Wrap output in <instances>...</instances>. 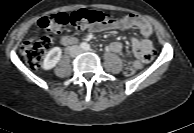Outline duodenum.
<instances>
[{"label":"duodenum","instance_id":"obj_1","mask_svg":"<svg viewBox=\"0 0 194 133\" xmlns=\"http://www.w3.org/2000/svg\"><path fill=\"white\" fill-rule=\"evenodd\" d=\"M77 42L76 38L71 37V36H63L61 38V43L63 45H73Z\"/></svg>","mask_w":194,"mask_h":133}]
</instances>
